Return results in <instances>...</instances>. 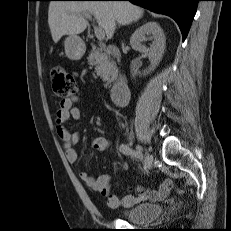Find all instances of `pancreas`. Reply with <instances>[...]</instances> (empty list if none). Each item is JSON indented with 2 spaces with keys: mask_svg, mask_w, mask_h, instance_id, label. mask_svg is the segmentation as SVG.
Here are the masks:
<instances>
[{
  "mask_svg": "<svg viewBox=\"0 0 231 231\" xmlns=\"http://www.w3.org/2000/svg\"><path fill=\"white\" fill-rule=\"evenodd\" d=\"M89 61L95 65L97 75L100 76L104 82H106L104 86L108 87L111 83V77L115 73V62L111 60L107 54L102 53L99 50H93L90 53Z\"/></svg>",
  "mask_w": 231,
  "mask_h": 231,
  "instance_id": "cf45deb5",
  "label": "pancreas"
}]
</instances>
